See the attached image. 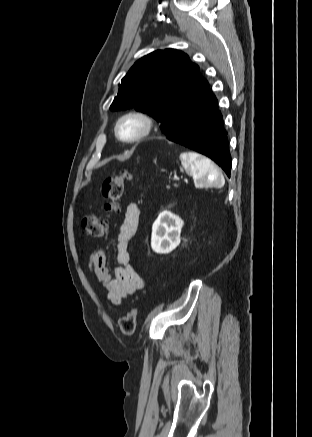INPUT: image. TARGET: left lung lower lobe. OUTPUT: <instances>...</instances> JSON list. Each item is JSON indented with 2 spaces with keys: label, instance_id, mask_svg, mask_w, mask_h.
<instances>
[{
  "label": "left lung lower lobe",
  "instance_id": "0a47b994",
  "mask_svg": "<svg viewBox=\"0 0 312 437\" xmlns=\"http://www.w3.org/2000/svg\"><path fill=\"white\" fill-rule=\"evenodd\" d=\"M168 139L208 156L230 176L231 157L227 133L217 99L212 92L178 132Z\"/></svg>",
  "mask_w": 312,
  "mask_h": 437
}]
</instances>
